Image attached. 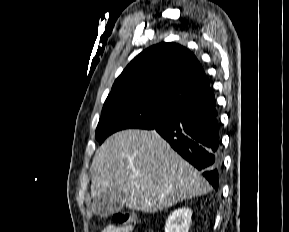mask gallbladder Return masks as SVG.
Here are the masks:
<instances>
[{"instance_id": "bac80fb5", "label": "gallbladder", "mask_w": 289, "mask_h": 232, "mask_svg": "<svg viewBox=\"0 0 289 232\" xmlns=\"http://www.w3.org/2000/svg\"><path fill=\"white\" fill-rule=\"evenodd\" d=\"M122 199L123 195L119 191L108 190L105 196L94 198L93 207L99 216H110L123 208Z\"/></svg>"}]
</instances>
